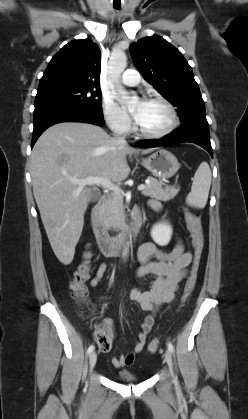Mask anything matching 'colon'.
Instances as JSON below:
<instances>
[{"instance_id": "5ec220e1", "label": "colon", "mask_w": 248, "mask_h": 419, "mask_svg": "<svg viewBox=\"0 0 248 419\" xmlns=\"http://www.w3.org/2000/svg\"><path fill=\"white\" fill-rule=\"evenodd\" d=\"M185 221L187 225V229L190 233V237L192 240V246L194 251V260L191 266L190 273L186 279L183 295L181 299L182 305L185 304L192 292L195 289L196 281H197V269L199 266V262L203 253L204 248V235L202 230V225L200 218L193 214L192 212L186 210L185 211ZM90 257L91 252L86 251L84 255V260L77 268L74 273V276L70 282V289L72 297L78 301L80 304H86V297H87V290H86V282L90 276ZM112 339V330L103 324L97 325L94 331V340L95 342L100 344H106ZM161 344V340L159 338L153 339L148 345V351L150 353H155Z\"/></svg>"}]
</instances>
